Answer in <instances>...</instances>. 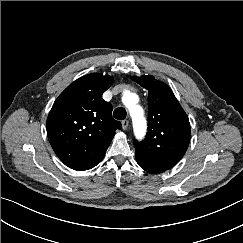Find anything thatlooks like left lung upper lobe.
<instances>
[{
	"label": "left lung upper lobe",
	"mask_w": 243,
	"mask_h": 243,
	"mask_svg": "<svg viewBox=\"0 0 243 243\" xmlns=\"http://www.w3.org/2000/svg\"><path fill=\"white\" fill-rule=\"evenodd\" d=\"M149 91L148 132L142 142L135 141L138 165L158 174L174 167L190 142L189 119L172 90L151 75L132 77Z\"/></svg>",
	"instance_id": "obj_1"
}]
</instances>
